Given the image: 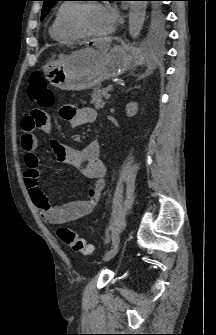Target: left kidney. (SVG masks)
Instances as JSON below:
<instances>
[{
	"mask_svg": "<svg viewBox=\"0 0 216 335\" xmlns=\"http://www.w3.org/2000/svg\"><path fill=\"white\" fill-rule=\"evenodd\" d=\"M138 104L135 102H130L126 105V114L128 117H133L137 114Z\"/></svg>",
	"mask_w": 216,
	"mask_h": 335,
	"instance_id": "1",
	"label": "left kidney"
}]
</instances>
